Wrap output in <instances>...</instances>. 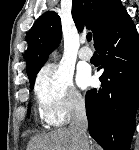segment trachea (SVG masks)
I'll return each instance as SVG.
<instances>
[{
    "label": "trachea",
    "instance_id": "3493384b",
    "mask_svg": "<svg viewBox=\"0 0 139 150\" xmlns=\"http://www.w3.org/2000/svg\"><path fill=\"white\" fill-rule=\"evenodd\" d=\"M91 40H92V34H88V35H87V41L90 42Z\"/></svg>",
    "mask_w": 139,
    "mask_h": 150
}]
</instances>
